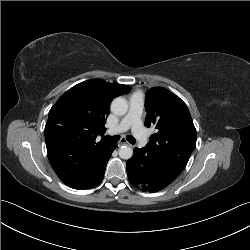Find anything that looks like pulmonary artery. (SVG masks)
<instances>
[{"label":"pulmonary artery","mask_w":250,"mask_h":250,"mask_svg":"<svg viewBox=\"0 0 250 250\" xmlns=\"http://www.w3.org/2000/svg\"><path fill=\"white\" fill-rule=\"evenodd\" d=\"M144 107V98L140 93H134L129 98V110L120 123L108 130L110 135L127 131L131 128L133 135L139 141L140 146L144 147L147 142V134L141 123V115Z\"/></svg>","instance_id":"pulmonary-artery-1"}]
</instances>
